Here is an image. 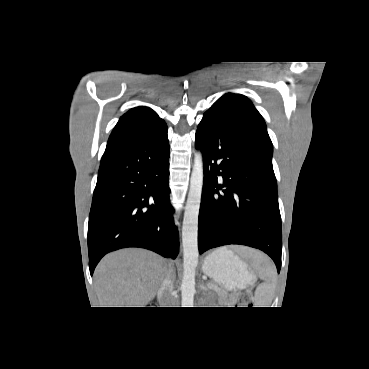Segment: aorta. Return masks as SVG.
<instances>
[{"label":"aorta","mask_w":369,"mask_h":369,"mask_svg":"<svg viewBox=\"0 0 369 369\" xmlns=\"http://www.w3.org/2000/svg\"><path fill=\"white\" fill-rule=\"evenodd\" d=\"M203 156L194 155L190 188L182 225L183 278L181 283L182 307H193L195 294V272L198 265V216L203 188Z\"/></svg>","instance_id":"1"}]
</instances>
